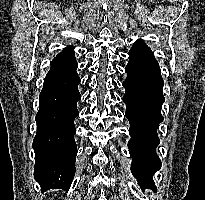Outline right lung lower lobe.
<instances>
[{"label": "right lung lower lobe", "mask_w": 205, "mask_h": 200, "mask_svg": "<svg viewBox=\"0 0 205 200\" xmlns=\"http://www.w3.org/2000/svg\"><path fill=\"white\" fill-rule=\"evenodd\" d=\"M74 48L68 47L51 62L39 96L37 133L33 141L35 180L43 191L70 188L75 174L77 146L74 119L80 78L76 72Z\"/></svg>", "instance_id": "1"}]
</instances>
